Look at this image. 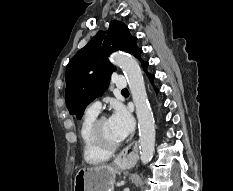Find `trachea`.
I'll use <instances>...</instances> for the list:
<instances>
[{"instance_id":"3493384b","label":"trachea","mask_w":233,"mask_h":191,"mask_svg":"<svg viewBox=\"0 0 233 191\" xmlns=\"http://www.w3.org/2000/svg\"><path fill=\"white\" fill-rule=\"evenodd\" d=\"M122 92H128V90L127 89H123Z\"/></svg>"}]
</instances>
